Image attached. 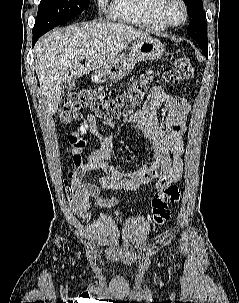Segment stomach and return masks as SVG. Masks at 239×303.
Listing matches in <instances>:
<instances>
[{
    "mask_svg": "<svg viewBox=\"0 0 239 303\" xmlns=\"http://www.w3.org/2000/svg\"><path fill=\"white\" fill-rule=\"evenodd\" d=\"M166 52L163 43L150 36L133 42L129 53L120 54L114 62L96 70L91 80L95 83L120 81L139 61L157 60Z\"/></svg>",
    "mask_w": 239,
    "mask_h": 303,
    "instance_id": "1",
    "label": "stomach"
}]
</instances>
